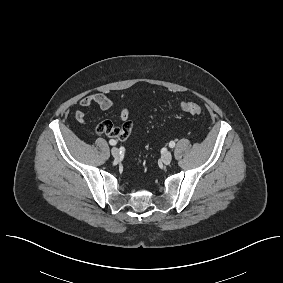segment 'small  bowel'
I'll list each match as a JSON object with an SVG mask.
<instances>
[{
	"instance_id": "c3829d8e",
	"label": "small bowel",
	"mask_w": 283,
	"mask_h": 283,
	"mask_svg": "<svg viewBox=\"0 0 283 283\" xmlns=\"http://www.w3.org/2000/svg\"><path fill=\"white\" fill-rule=\"evenodd\" d=\"M80 105L82 108L87 109L92 107L93 105L98 106L100 109L104 111H109L113 108V101L108 98L105 94L97 92L85 95L80 100ZM118 118L123 122L122 126L118 127L119 133L115 138L120 140L127 139L133 129V124L129 121V111L127 108H122L118 114ZM76 120L81 123H86V113L82 110H79L75 113Z\"/></svg>"
}]
</instances>
